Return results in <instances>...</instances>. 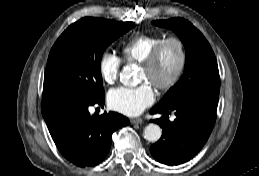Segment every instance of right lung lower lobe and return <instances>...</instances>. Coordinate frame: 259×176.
<instances>
[{
  "instance_id": "right-lung-lower-lobe-1",
  "label": "right lung lower lobe",
  "mask_w": 259,
  "mask_h": 176,
  "mask_svg": "<svg viewBox=\"0 0 259 176\" xmlns=\"http://www.w3.org/2000/svg\"><path fill=\"white\" fill-rule=\"evenodd\" d=\"M105 94L82 99L68 95L42 98V115L61 154L79 167L99 164L108 154L112 134L128 125V118L115 113L90 115L88 108L103 105Z\"/></svg>"
}]
</instances>
